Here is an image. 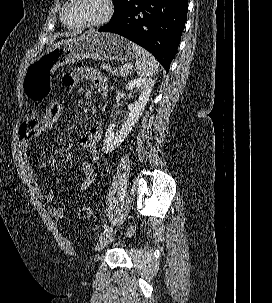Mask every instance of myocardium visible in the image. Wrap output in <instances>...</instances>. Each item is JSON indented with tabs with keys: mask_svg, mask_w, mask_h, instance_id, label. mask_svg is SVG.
<instances>
[{
	"mask_svg": "<svg viewBox=\"0 0 272 303\" xmlns=\"http://www.w3.org/2000/svg\"><path fill=\"white\" fill-rule=\"evenodd\" d=\"M74 2V0H68L66 4L63 7L62 10V21L63 23L74 29H84V28H95V27H100L105 24H107L111 18L113 17L114 14V3L112 0H100V2L104 6V14L101 18L97 20H92V21H87V22H82V23H77V24H71L67 21L66 19V12L69 6Z\"/></svg>",
	"mask_w": 272,
	"mask_h": 303,
	"instance_id": "1",
	"label": "myocardium"
}]
</instances>
